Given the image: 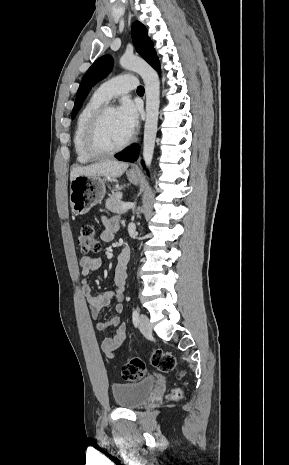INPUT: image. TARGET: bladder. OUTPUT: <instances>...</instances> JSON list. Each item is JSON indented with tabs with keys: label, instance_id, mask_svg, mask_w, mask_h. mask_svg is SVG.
I'll return each mask as SVG.
<instances>
[{
	"label": "bladder",
	"instance_id": "1",
	"mask_svg": "<svg viewBox=\"0 0 289 465\" xmlns=\"http://www.w3.org/2000/svg\"><path fill=\"white\" fill-rule=\"evenodd\" d=\"M154 377H147L137 382L115 383L111 390L115 403L126 409H136L143 406L156 387Z\"/></svg>",
	"mask_w": 289,
	"mask_h": 465
}]
</instances>
